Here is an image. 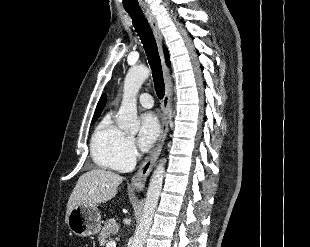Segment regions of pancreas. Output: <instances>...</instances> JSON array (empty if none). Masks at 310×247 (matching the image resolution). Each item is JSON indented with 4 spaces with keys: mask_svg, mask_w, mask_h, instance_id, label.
<instances>
[{
    "mask_svg": "<svg viewBox=\"0 0 310 247\" xmlns=\"http://www.w3.org/2000/svg\"><path fill=\"white\" fill-rule=\"evenodd\" d=\"M119 231V226L114 219H110L106 222L105 226L102 228L98 240L101 246L108 242V237L117 234Z\"/></svg>",
    "mask_w": 310,
    "mask_h": 247,
    "instance_id": "1",
    "label": "pancreas"
}]
</instances>
